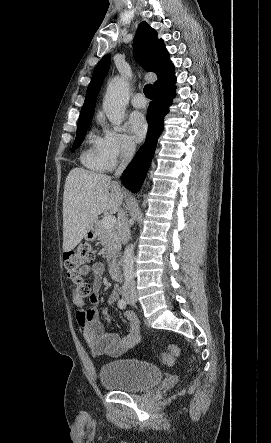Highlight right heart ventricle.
Returning <instances> with one entry per match:
<instances>
[{
    "label": "right heart ventricle",
    "mask_w": 271,
    "mask_h": 443,
    "mask_svg": "<svg viewBox=\"0 0 271 443\" xmlns=\"http://www.w3.org/2000/svg\"><path fill=\"white\" fill-rule=\"evenodd\" d=\"M82 163L93 170L105 171L113 165L105 158L101 150V138L90 132L87 136V145L81 154Z\"/></svg>",
    "instance_id": "right-heart-ventricle-1"
}]
</instances>
